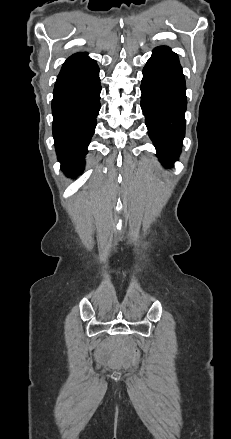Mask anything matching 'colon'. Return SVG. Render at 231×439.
I'll return each mask as SVG.
<instances>
[{
	"label": "colon",
	"mask_w": 231,
	"mask_h": 439,
	"mask_svg": "<svg viewBox=\"0 0 231 439\" xmlns=\"http://www.w3.org/2000/svg\"><path fill=\"white\" fill-rule=\"evenodd\" d=\"M131 359L134 364H137L140 359V352L136 347L131 349Z\"/></svg>",
	"instance_id": "5ec220e1"
}]
</instances>
